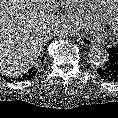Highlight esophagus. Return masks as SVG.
I'll list each match as a JSON object with an SVG mask.
<instances>
[{
	"label": "esophagus",
	"mask_w": 118,
	"mask_h": 118,
	"mask_svg": "<svg viewBox=\"0 0 118 118\" xmlns=\"http://www.w3.org/2000/svg\"><path fill=\"white\" fill-rule=\"evenodd\" d=\"M77 41L85 46H92L94 44V41L92 39L83 35H78Z\"/></svg>",
	"instance_id": "esophagus-1"
}]
</instances>
